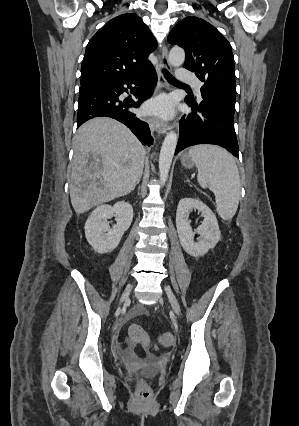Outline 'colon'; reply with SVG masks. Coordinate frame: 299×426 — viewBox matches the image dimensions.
Masks as SVG:
<instances>
[{"label":"colon","instance_id":"5ec220e1","mask_svg":"<svg viewBox=\"0 0 299 426\" xmlns=\"http://www.w3.org/2000/svg\"><path fill=\"white\" fill-rule=\"evenodd\" d=\"M131 341L141 343L144 346L150 345V338L140 325L133 324L128 330ZM174 343V337L171 333H164L159 337V345L163 348H169ZM152 395V390L147 382L140 380L136 387V396L141 401H147Z\"/></svg>","mask_w":299,"mask_h":426}]
</instances>
